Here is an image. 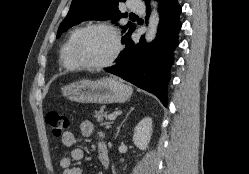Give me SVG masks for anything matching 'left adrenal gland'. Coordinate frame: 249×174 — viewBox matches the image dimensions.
Masks as SVG:
<instances>
[{"instance_id": "obj_1", "label": "left adrenal gland", "mask_w": 249, "mask_h": 174, "mask_svg": "<svg viewBox=\"0 0 249 174\" xmlns=\"http://www.w3.org/2000/svg\"><path fill=\"white\" fill-rule=\"evenodd\" d=\"M133 110H134V107H131V108H130V111L127 113L125 119H124V120L121 122V124L118 126V128H117V133H116L115 137L118 136V134H119V132H120V128L122 127L123 123L126 121V119L128 118L129 114H130Z\"/></svg>"}]
</instances>
